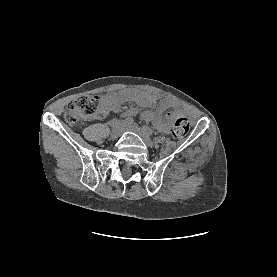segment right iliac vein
I'll use <instances>...</instances> for the list:
<instances>
[{
    "mask_svg": "<svg viewBox=\"0 0 277 277\" xmlns=\"http://www.w3.org/2000/svg\"><path fill=\"white\" fill-rule=\"evenodd\" d=\"M124 129V123L121 121H114L112 123V137L113 138H118Z\"/></svg>",
    "mask_w": 277,
    "mask_h": 277,
    "instance_id": "63e3f726",
    "label": "right iliac vein"
}]
</instances>
